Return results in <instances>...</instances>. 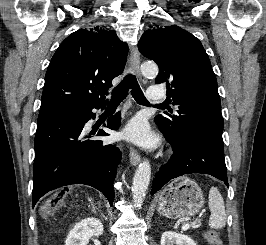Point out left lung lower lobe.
Wrapping results in <instances>:
<instances>
[{
  "label": "left lung lower lobe",
  "mask_w": 266,
  "mask_h": 245,
  "mask_svg": "<svg viewBox=\"0 0 266 245\" xmlns=\"http://www.w3.org/2000/svg\"><path fill=\"white\" fill-rule=\"evenodd\" d=\"M158 127L171 144L173 154L168 163L157 171L151 194L171 179L191 173L212 175L228 186L222 132L202 127H188L174 139L159 125Z\"/></svg>",
  "instance_id": "1"
}]
</instances>
